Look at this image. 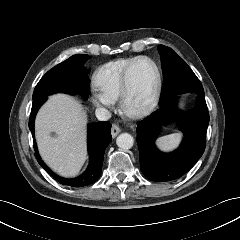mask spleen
I'll list each match as a JSON object with an SVG mask.
<instances>
[{
    "label": "spleen",
    "instance_id": "spleen-1",
    "mask_svg": "<svg viewBox=\"0 0 240 240\" xmlns=\"http://www.w3.org/2000/svg\"><path fill=\"white\" fill-rule=\"evenodd\" d=\"M182 135L179 133H174L160 137L157 140V145L161 150L170 151L178 146L181 141Z\"/></svg>",
    "mask_w": 240,
    "mask_h": 240
}]
</instances>
